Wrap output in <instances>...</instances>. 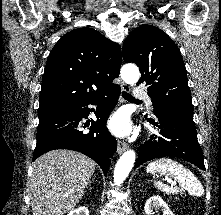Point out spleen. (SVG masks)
I'll return each mask as SVG.
<instances>
[{"label": "spleen", "instance_id": "spleen-1", "mask_svg": "<svg viewBox=\"0 0 221 215\" xmlns=\"http://www.w3.org/2000/svg\"><path fill=\"white\" fill-rule=\"evenodd\" d=\"M147 172H158L161 175L173 177L182 189L188 191L190 195L202 196L204 188L198 178L182 164L171 158H160L152 161L147 166ZM155 186L166 194H176L179 192L177 187H169L160 181L155 182Z\"/></svg>", "mask_w": 221, "mask_h": 215}]
</instances>
